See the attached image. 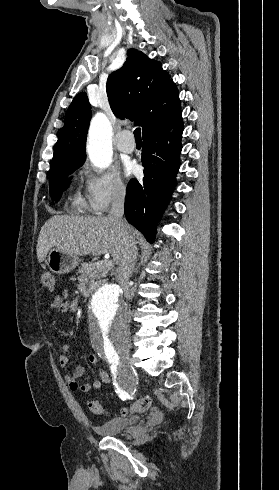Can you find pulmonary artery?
I'll return each mask as SVG.
<instances>
[{
	"label": "pulmonary artery",
	"instance_id": "pulmonary-artery-1",
	"mask_svg": "<svg viewBox=\"0 0 279 490\" xmlns=\"http://www.w3.org/2000/svg\"><path fill=\"white\" fill-rule=\"evenodd\" d=\"M118 135L119 137L114 139L115 146H118V149L123 153H132L135 150L137 139L136 137H130V128H119Z\"/></svg>",
	"mask_w": 279,
	"mask_h": 490
}]
</instances>
